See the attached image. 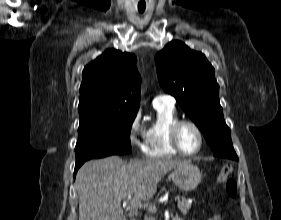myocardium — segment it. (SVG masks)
I'll return each mask as SVG.
<instances>
[{
	"mask_svg": "<svg viewBox=\"0 0 281 220\" xmlns=\"http://www.w3.org/2000/svg\"><path fill=\"white\" fill-rule=\"evenodd\" d=\"M185 125H189V126L193 127L196 130L198 137H199V146L193 152L184 151L179 142V131ZM169 140H170L172 147L179 154L184 155V156H194V155L198 154L203 147L204 135H203L202 129L196 122H194L192 120H188V119H179L176 122H174L170 127Z\"/></svg>",
	"mask_w": 281,
	"mask_h": 220,
	"instance_id": "myocardium-1",
	"label": "myocardium"
}]
</instances>
